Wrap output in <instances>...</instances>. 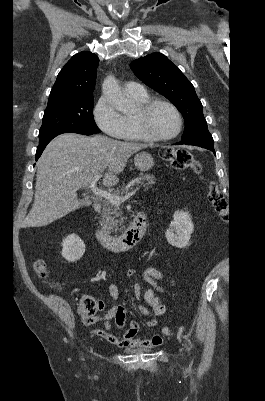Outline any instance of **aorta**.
Returning a JSON list of instances; mask_svg holds the SVG:
<instances>
[{
    "label": "aorta",
    "mask_w": 265,
    "mask_h": 401,
    "mask_svg": "<svg viewBox=\"0 0 265 401\" xmlns=\"http://www.w3.org/2000/svg\"><path fill=\"white\" fill-rule=\"evenodd\" d=\"M102 92L106 96L108 102H111L115 106L116 110L125 112L128 104L117 78L115 76H106L102 84Z\"/></svg>",
    "instance_id": "obj_1"
}]
</instances>
